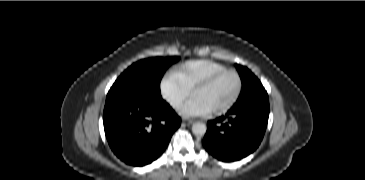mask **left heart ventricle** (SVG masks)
Listing matches in <instances>:
<instances>
[{"instance_id":"1","label":"left heart ventricle","mask_w":365,"mask_h":180,"mask_svg":"<svg viewBox=\"0 0 365 180\" xmlns=\"http://www.w3.org/2000/svg\"><path fill=\"white\" fill-rule=\"evenodd\" d=\"M237 85V77L229 73L197 93L195 99L200 101L210 111L229 102L236 92Z\"/></svg>"}]
</instances>
